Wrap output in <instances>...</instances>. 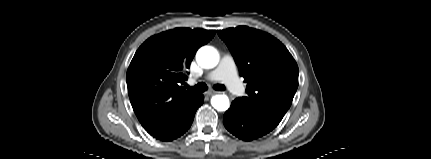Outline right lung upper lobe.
I'll return each mask as SVG.
<instances>
[{"label":"right lung upper lobe","instance_id":"1","mask_svg":"<svg viewBox=\"0 0 431 159\" xmlns=\"http://www.w3.org/2000/svg\"><path fill=\"white\" fill-rule=\"evenodd\" d=\"M215 30L175 28L147 39L136 51L126 81L133 110L149 133L160 129L195 94L181 84L196 51Z\"/></svg>","mask_w":431,"mask_h":159}]
</instances>
